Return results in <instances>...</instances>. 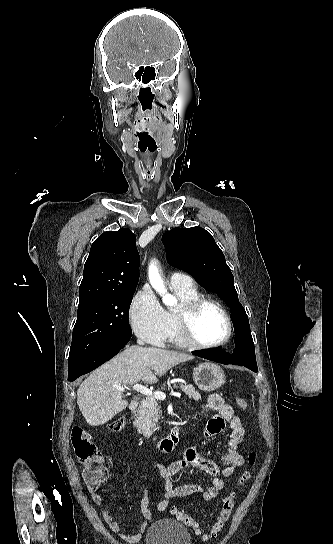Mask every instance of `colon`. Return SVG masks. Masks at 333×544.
<instances>
[{"instance_id": "colon-1", "label": "colon", "mask_w": 333, "mask_h": 544, "mask_svg": "<svg viewBox=\"0 0 333 544\" xmlns=\"http://www.w3.org/2000/svg\"><path fill=\"white\" fill-rule=\"evenodd\" d=\"M236 404L243 410L248 408L247 401L242 397H236ZM126 426L124 416H119L107 425L108 430L112 432H120ZM72 445L75 455L83 466V479L90 490H98L101 485L107 480L108 471L104 465L101 452L94 443L92 433L83 427H74L72 430ZM256 453L252 452L248 456V463L254 466L256 463ZM251 477L250 471H244L238 480V486L243 485ZM234 493H230L223 499L222 507L219 514L209 530H204L200 524L188 513L182 509L175 507L172 512L174 516L183 522L185 525L193 529V531L203 540L215 538L223 529L226 522L229 520L234 508Z\"/></svg>"}]
</instances>
